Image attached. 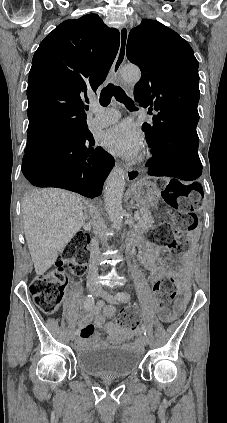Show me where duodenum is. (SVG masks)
<instances>
[{"label":"duodenum","mask_w":227,"mask_h":423,"mask_svg":"<svg viewBox=\"0 0 227 423\" xmlns=\"http://www.w3.org/2000/svg\"><path fill=\"white\" fill-rule=\"evenodd\" d=\"M147 242H149V241H147V240H143V241L140 243V245H139V246H138V248H137L138 253L143 254V253L145 252V249H146V243H147Z\"/></svg>","instance_id":"duodenum-1"}]
</instances>
